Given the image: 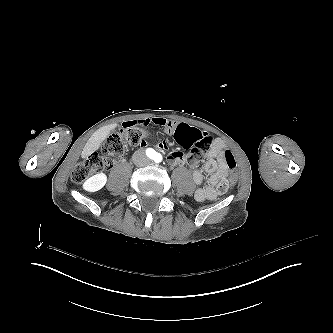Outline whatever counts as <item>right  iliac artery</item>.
I'll return each mask as SVG.
<instances>
[{
	"instance_id": "82829eb1",
	"label": "right iliac artery",
	"mask_w": 333,
	"mask_h": 333,
	"mask_svg": "<svg viewBox=\"0 0 333 333\" xmlns=\"http://www.w3.org/2000/svg\"><path fill=\"white\" fill-rule=\"evenodd\" d=\"M155 153L156 152L153 149H151V148L147 149V156L149 158H153L155 156Z\"/></svg>"
}]
</instances>
